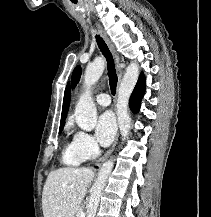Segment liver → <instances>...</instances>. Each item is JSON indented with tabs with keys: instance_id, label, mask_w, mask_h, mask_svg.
<instances>
[{
	"instance_id": "1",
	"label": "liver",
	"mask_w": 211,
	"mask_h": 217,
	"mask_svg": "<svg viewBox=\"0 0 211 217\" xmlns=\"http://www.w3.org/2000/svg\"><path fill=\"white\" fill-rule=\"evenodd\" d=\"M93 178V170L84 167L50 172L42 193L44 217H74Z\"/></svg>"
}]
</instances>
